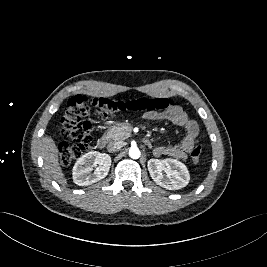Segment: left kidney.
I'll return each instance as SVG.
<instances>
[{"label":"left kidney","mask_w":267,"mask_h":267,"mask_svg":"<svg viewBox=\"0 0 267 267\" xmlns=\"http://www.w3.org/2000/svg\"><path fill=\"white\" fill-rule=\"evenodd\" d=\"M147 166L153 181L165 189L179 190L189 183L187 167L176 159H150ZM163 171L166 176L163 175Z\"/></svg>","instance_id":"1"}]
</instances>
